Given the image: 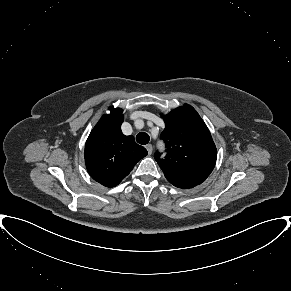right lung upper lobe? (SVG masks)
Wrapping results in <instances>:
<instances>
[{
  "mask_svg": "<svg viewBox=\"0 0 291 291\" xmlns=\"http://www.w3.org/2000/svg\"><path fill=\"white\" fill-rule=\"evenodd\" d=\"M109 109L111 113L105 114L91 131L84 155L91 177L106 187H114L147 155V150L133 136L122 133L123 110Z\"/></svg>",
  "mask_w": 291,
  "mask_h": 291,
  "instance_id": "1",
  "label": "right lung upper lobe"
}]
</instances>
